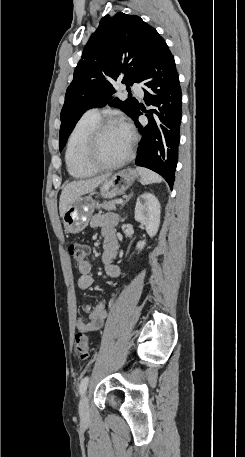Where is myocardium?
<instances>
[{
  "mask_svg": "<svg viewBox=\"0 0 245 457\" xmlns=\"http://www.w3.org/2000/svg\"><path fill=\"white\" fill-rule=\"evenodd\" d=\"M112 127H121L123 126L115 121V120H100L98 123H96L91 130L89 131L87 137H86V142L83 147V149L79 153V163L86 169H88L91 172H98V171H103V170H109L116 168L127 161H129L133 155L134 152V146L136 143L135 136L132 132H127L130 137V143L129 146L126 150V152L120 156L119 158L109 161V162H104L101 164H94L90 162L88 159V150L91 149L92 146L97 145L100 142V139L103 135V133Z\"/></svg>",
  "mask_w": 245,
  "mask_h": 457,
  "instance_id": "f54148a6",
  "label": "myocardium"
}]
</instances>
